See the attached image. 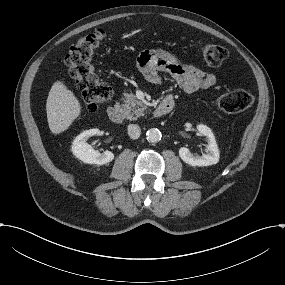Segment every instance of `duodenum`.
I'll list each match as a JSON object with an SVG mask.
<instances>
[{
	"label": "duodenum",
	"mask_w": 285,
	"mask_h": 285,
	"mask_svg": "<svg viewBox=\"0 0 285 285\" xmlns=\"http://www.w3.org/2000/svg\"><path fill=\"white\" fill-rule=\"evenodd\" d=\"M174 106V98L172 96H166L163 101L154 108L153 115L156 117H162L171 112ZM107 115L109 119L114 123H120L122 121V113L117 105H111L107 109Z\"/></svg>",
	"instance_id": "410a0bca"
}]
</instances>
